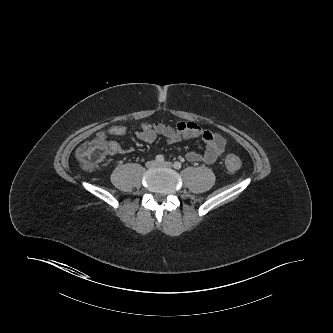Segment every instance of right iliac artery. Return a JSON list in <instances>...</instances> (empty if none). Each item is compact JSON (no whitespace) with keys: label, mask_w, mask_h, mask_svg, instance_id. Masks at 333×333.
I'll return each mask as SVG.
<instances>
[{"label":"right iliac artery","mask_w":333,"mask_h":333,"mask_svg":"<svg viewBox=\"0 0 333 333\" xmlns=\"http://www.w3.org/2000/svg\"><path fill=\"white\" fill-rule=\"evenodd\" d=\"M155 160L157 163H163L165 159L163 155H157Z\"/></svg>","instance_id":"obj_1"}]
</instances>
